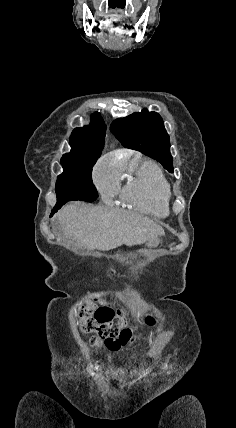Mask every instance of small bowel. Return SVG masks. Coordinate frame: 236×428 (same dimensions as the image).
<instances>
[{
  "mask_svg": "<svg viewBox=\"0 0 236 428\" xmlns=\"http://www.w3.org/2000/svg\"><path fill=\"white\" fill-rule=\"evenodd\" d=\"M133 341V337L131 336L122 346L127 345L128 343ZM121 346H119L117 349H119Z\"/></svg>",
  "mask_w": 236,
  "mask_h": 428,
  "instance_id": "obj_1",
  "label": "small bowel"
}]
</instances>
